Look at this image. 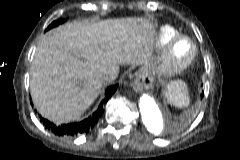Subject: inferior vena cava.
<instances>
[{"label":"inferior vena cava","instance_id":"inferior-vena-cava-1","mask_svg":"<svg viewBox=\"0 0 240 160\" xmlns=\"http://www.w3.org/2000/svg\"><path fill=\"white\" fill-rule=\"evenodd\" d=\"M116 78V75L112 74V73H107V74H104L102 76V79L104 81H107V80H114Z\"/></svg>","mask_w":240,"mask_h":160}]
</instances>
